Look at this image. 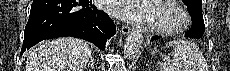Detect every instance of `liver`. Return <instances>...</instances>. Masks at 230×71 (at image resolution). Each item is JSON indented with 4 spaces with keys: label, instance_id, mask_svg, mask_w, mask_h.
Segmentation results:
<instances>
[{
    "label": "liver",
    "instance_id": "liver-1",
    "mask_svg": "<svg viewBox=\"0 0 230 71\" xmlns=\"http://www.w3.org/2000/svg\"><path fill=\"white\" fill-rule=\"evenodd\" d=\"M91 56V48L83 40L58 38L31 51L26 71H83Z\"/></svg>",
    "mask_w": 230,
    "mask_h": 71
}]
</instances>
